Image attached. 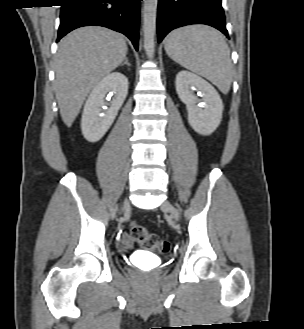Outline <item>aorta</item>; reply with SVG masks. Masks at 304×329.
<instances>
[{
	"mask_svg": "<svg viewBox=\"0 0 304 329\" xmlns=\"http://www.w3.org/2000/svg\"><path fill=\"white\" fill-rule=\"evenodd\" d=\"M143 42L148 57L152 58L155 52V29L158 0H143Z\"/></svg>",
	"mask_w": 304,
	"mask_h": 329,
	"instance_id": "aorta-1",
	"label": "aorta"
}]
</instances>
